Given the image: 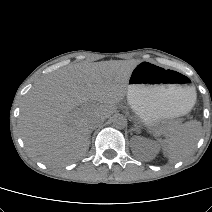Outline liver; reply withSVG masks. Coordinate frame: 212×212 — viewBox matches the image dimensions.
<instances>
[{"mask_svg":"<svg viewBox=\"0 0 212 212\" xmlns=\"http://www.w3.org/2000/svg\"><path fill=\"white\" fill-rule=\"evenodd\" d=\"M136 63L105 61L71 64L48 75L26 96L19 130L28 153L46 165L83 157L90 145L88 118L110 117L127 95ZM87 102L82 111L73 110Z\"/></svg>","mask_w":212,"mask_h":212,"instance_id":"liver-1","label":"liver"}]
</instances>
